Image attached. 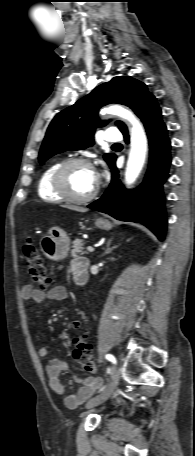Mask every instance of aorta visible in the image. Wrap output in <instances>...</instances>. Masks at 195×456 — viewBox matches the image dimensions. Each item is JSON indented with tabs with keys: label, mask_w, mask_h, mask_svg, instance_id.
<instances>
[{
	"label": "aorta",
	"mask_w": 195,
	"mask_h": 456,
	"mask_svg": "<svg viewBox=\"0 0 195 456\" xmlns=\"http://www.w3.org/2000/svg\"><path fill=\"white\" fill-rule=\"evenodd\" d=\"M101 114L117 115L129 121L132 125L131 148L125 171V182L127 185H131L139 176L145 163L147 152V137L145 131L135 115L120 105H111L103 109Z\"/></svg>",
	"instance_id": "1"
}]
</instances>
